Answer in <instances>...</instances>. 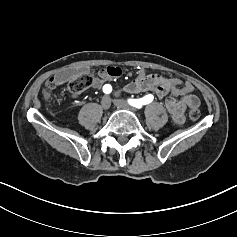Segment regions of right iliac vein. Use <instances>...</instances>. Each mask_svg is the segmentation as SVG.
<instances>
[{
  "label": "right iliac vein",
  "mask_w": 237,
  "mask_h": 237,
  "mask_svg": "<svg viewBox=\"0 0 237 237\" xmlns=\"http://www.w3.org/2000/svg\"><path fill=\"white\" fill-rule=\"evenodd\" d=\"M111 107V100L108 96H104L101 100V108L108 110Z\"/></svg>",
  "instance_id": "right-iliac-vein-1"
}]
</instances>
